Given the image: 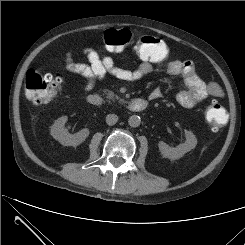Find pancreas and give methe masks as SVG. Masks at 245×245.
Wrapping results in <instances>:
<instances>
[{
  "instance_id": "obj_1",
  "label": "pancreas",
  "mask_w": 245,
  "mask_h": 245,
  "mask_svg": "<svg viewBox=\"0 0 245 245\" xmlns=\"http://www.w3.org/2000/svg\"><path fill=\"white\" fill-rule=\"evenodd\" d=\"M104 94L109 100H113V101L118 100L122 104L125 103L124 99H121L119 96L115 95L114 92L112 91L104 90Z\"/></svg>"
}]
</instances>
